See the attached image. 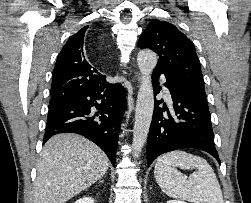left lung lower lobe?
<instances>
[{
  "label": "left lung lower lobe",
  "mask_w": 251,
  "mask_h": 203,
  "mask_svg": "<svg viewBox=\"0 0 251 203\" xmlns=\"http://www.w3.org/2000/svg\"><path fill=\"white\" fill-rule=\"evenodd\" d=\"M160 75L165 76L173 107L169 111L166 106L159 107L163 100L155 102L147 142L148 167L159 155L182 148L206 151L220 163L206 99L162 69H155L152 74L155 91Z\"/></svg>",
  "instance_id": "0a47b994"
}]
</instances>
